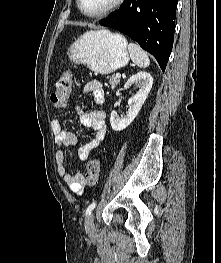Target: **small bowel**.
<instances>
[{"mask_svg":"<svg viewBox=\"0 0 221 263\" xmlns=\"http://www.w3.org/2000/svg\"><path fill=\"white\" fill-rule=\"evenodd\" d=\"M84 93L91 94L97 104H102L105 100L102 84L97 80L88 82L83 89ZM82 124L91 129L95 138L79 149L78 155L81 160H86L90 153L99 146L106 135L105 113L100 110L92 112L80 111ZM53 131L55 133V144L58 147L56 152L57 172L58 175L67 184L69 189L80 194L85 185L84 176L80 172H68L64 166L63 148L73 146L77 142L75 134L66 128L60 121H53Z\"/></svg>","mask_w":221,"mask_h":263,"instance_id":"1","label":"small bowel"}]
</instances>
